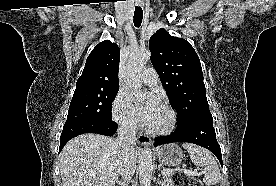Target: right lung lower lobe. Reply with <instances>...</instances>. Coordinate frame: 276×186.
Segmentation results:
<instances>
[{
  "instance_id": "right-lung-lower-lobe-1",
  "label": "right lung lower lobe",
  "mask_w": 276,
  "mask_h": 186,
  "mask_svg": "<svg viewBox=\"0 0 276 186\" xmlns=\"http://www.w3.org/2000/svg\"><path fill=\"white\" fill-rule=\"evenodd\" d=\"M118 125L111 120H76L66 122L63 126V131L60 137L59 152L64 145L73 137L83 133H97L106 136H111L117 131Z\"/></svg>"
}]
</instances>
